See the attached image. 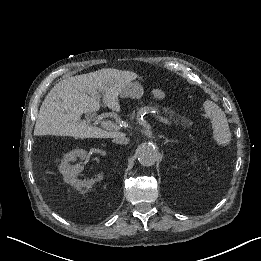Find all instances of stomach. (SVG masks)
Returning <instances> with one entry per match:
<instances>
[{"instance_id": "1", "label": "stomach", "mask_w": 261, "mask_h": 261, "mask_svg": "<svg viewBox=\"0 0 261 261\" xmlns=\"http://www.w3.org/2000/svg\"><path fill=\"white\" fill-rule=\"evenodd\" d=\"M144 94V89L141 84L137 82H130L122 90L121 97H131L135 99H140Z\"/></svg>"}]
</instances>
